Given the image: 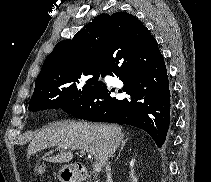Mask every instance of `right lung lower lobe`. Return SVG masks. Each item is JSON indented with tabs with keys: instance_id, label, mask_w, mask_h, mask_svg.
I'll return each instance as SVG.
<instances>
[{
	"instance_id": "obj_1",
	"label": "right lung lower lobe",
	"mask_w": 211,
	"mask_h": 182,
	"mask_svg": "<svg viewBox=\"0 0 211 182\" xmlns=\"http://www.w3.org/2000/svg\"><path fill=\"white\" fill-rule=\"evenodd\" d=\"M117 48V51H116ZM105 57L100 76H116L125 98L111 97L102 81L70 113L93 122L122 123L145 130L161 147L170 122V91L164 58L152 35L118 45Z\"/></svg>"
}]
</instances>
